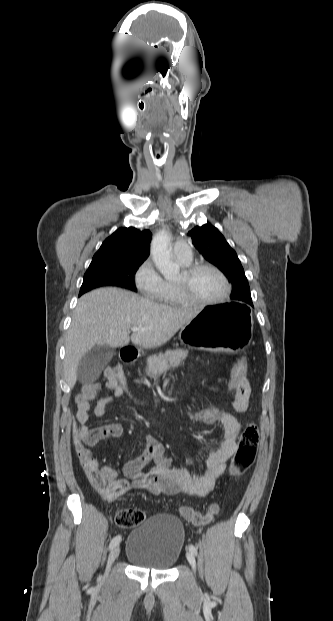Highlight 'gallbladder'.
Returning <instances> with one entry per match:
<instances>
[{
    "label": "gallbladder",
    "instance_id": "obj_1",
    "mask_svg": "<svg viewBox=\"0 0 333 621\" xmlns=\"http://www.w3.org/2000/svg\"><path fill=\"white\" fill-rule=\"evenodd\" d=\"M115 354L108 345H97L87 352L79 362L77 375L81 383L95 381Z\"/></svg>",
    "mask_w": 333,
    "mask_h": 621
}]
</instances>
